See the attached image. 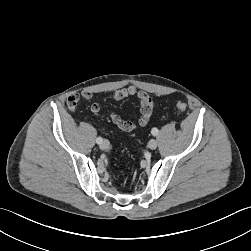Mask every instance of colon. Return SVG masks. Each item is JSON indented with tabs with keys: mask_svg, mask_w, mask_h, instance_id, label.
<instances>
[{
	"mask_svg": "<svg viewBox=\"0 0 251 251\" xmlns=\"http://www.w3.org/2000/svg\"><path fill=\"white\" fill-rule=\"evenodd\" d=\"M176 108H177V110H178L179 112L183 113V112L186 111L187 105H186L184 102H178V103L176 104Z\"/></svg>",
	"mask_w": 251,
	"mask_h": 251,
	"instance_id": "5ec220e1",
	"label": "colon"
}]
</instances>
